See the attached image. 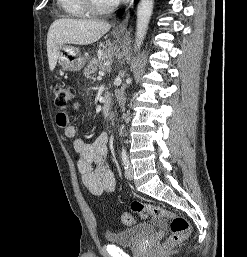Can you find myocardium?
<instances>
[{"label": "myocardium", "mask_w": 247, "mask_h": 257, "mask_svg": "<svg viewBox=\"0 0 247 257\" xmlns=\"http://www.w3.org/2000/svg\"><path fill=\"white\" fill-rule=\"evenodd\" d=\"M86 10L93 15H102L111 12L118 5V2L112 1L105 6L99 5L96 0H82Z\"/></svg>", "instance_id": "myocardium-1"}]
</instances>
